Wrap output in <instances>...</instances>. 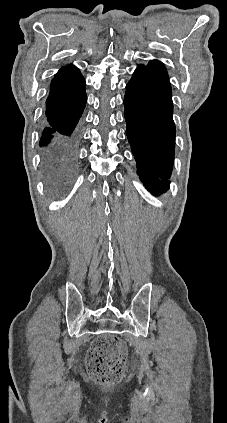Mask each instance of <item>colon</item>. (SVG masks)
Instances as JSON below:
<instances>
[{
    "label": "colon",
    "instance_id": "obj_1",
    "mask_svg": "<svg viewBox=\"0 0 227 423\" xmlns=\"http://www.w3.org/2000/svg\"><path fill=\"white\" fill-rule=\"evenodd\" d=\"M125 344L116 336L104 334L92 342L87 361L90 375L99 383H114L123 378Z\"/></svg>",
    "mask_w": 227,
    "mask_h": 423
}]
</instances>
